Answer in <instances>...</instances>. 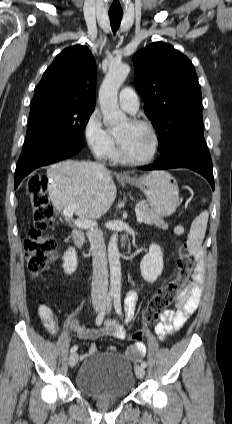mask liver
<instances>
[{
	"mask_svg": "<svg viewBox=\"0 0 232 424\" xmlns=\"http://www.w3.org/2000/svg\"><path fill=\"white\" fill-rule=\"evenodd\" d=\"M48 194L57 210L75 204L80 219H98L110 209L116 198L111 172L96 163L66 160L51 166Z\"/></svg>",
	"mask_w": 232,
	"mask_h": 424,
	"instance_id": "6515ba94",
	"label": "liver"
}]
</instances>
